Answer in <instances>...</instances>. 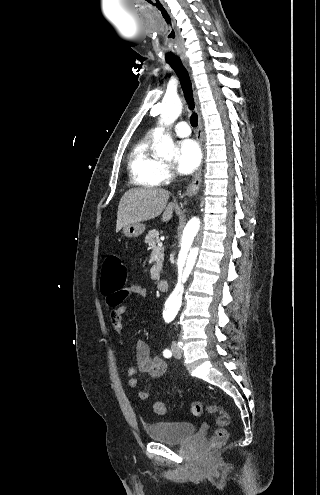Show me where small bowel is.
Returning <instances> with one entry per match:
<instances>
[{"instance_id":"small-bowel-1","label":"small bowel","mask_w":320,"mask_h":495,"mask_svg":"<svg viewBox=\"0 0 320 495\" xmlns=\"http://www.w3.org/2000/svg\"><path fill=\"white\" fill-rule=\"evenodd\" d=\"M122 295L124 296L123 300H119ZM130 295L145 297L147 295V289L144 286L130 283L124 286L121 291L105 294L106 304L111 310L110 318L112 326L120 337V344L123 343L121 338L123 316L129 308L128 305L124 303V300ZM135 361L136 366L129 367L127 370V375L130 377L128 385L132 389L138 387V380L134 377L138 372L145 373L152 378L162 377L166 373V361L160 356H152L149 345L142 339L135 340ZM144 391L145 390H138V395L142 399Z\"/></svg>"}]
</instances>
